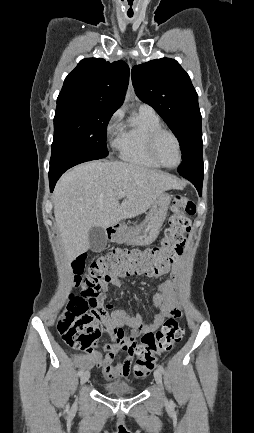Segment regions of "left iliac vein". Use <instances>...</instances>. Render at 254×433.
I'll return each instance as SVG.
<instances>
[{
  "label": "left iliac vein",
  "instance_id": "obj_1",
  "mask_svg": "<svg viewBox=\"0 0 254 433\" xmlns=\"http://www.w3.org/2000/svg\"><path fill=\"white\" fill-rule=\"evenodd\" d=\"M154 378H155L157 385L162 389L163 388L162 374H161V371L159 369H157L154 372Z\"/></svg>",
  "mask_w": 254,
  "mask_h": 433
}]
</instances>
